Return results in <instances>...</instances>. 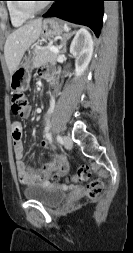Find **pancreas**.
<instances>
[{"label":"pancreas","mask_w":133,"mask_h":253,"mask_svg":"<svg viewBox=\"0 0 133 253\" xmlns=\"http://www.w3.org/2000/svg\"><path fill=\"white\" fill-rule=\"evenodd\" d=\"M51 46L47 47H39L35 48L33 51V63L32 67L36 68L46 63L55 64L57 62L58 54L52 52L49 48Z\"/></svg>","instance_id":"pancreas-1"}]
</instances>
